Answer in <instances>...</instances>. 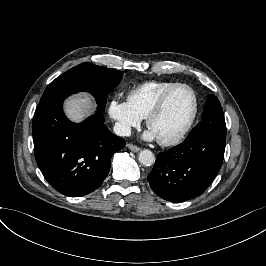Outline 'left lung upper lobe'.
I'll list each match as a JSON object with an SVG mask.
<instances>
[{"label":"left lung upper lobe","instance_id":"left-lung-upper-lobe-1","mask_svg":"<svg viewBox=\"0 0 266 266\" xmlns=\"http://www.w3.org/2000/svg\"><path fill=\"white\" fill-rule=\"evenodd\" d=\"M199 133H215L226 136V123L223 110L218 98L214 95L208 96L202 114V120L193 128L187 138Z\"/></svg>","mask_w":266,"mask_h":266}]
</instances>
